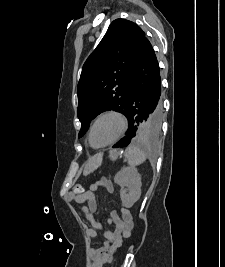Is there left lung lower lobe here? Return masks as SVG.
Returning a JSON list of instances; mask_svg holds the SVG:
<instances>
[{"instance_id":"0a47b994","label":"left lung lower lobe","mask_w":225,"mask_h":267,"mask_svg":"<svg viewBox=\"0 0 225 267\" xmlns=\"http://www.w3.org/2000/svg\"><path fill=\"white\" fill-rule=\"evenodd\" d=\"M129 122L126 136L114 148L126 147L136 135L141 120L151 119L160 126L162 121L161 78L158 61L151 43L146 39L134 72L127 112Z\"/></svg>"}]
</instances>
